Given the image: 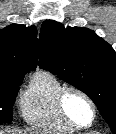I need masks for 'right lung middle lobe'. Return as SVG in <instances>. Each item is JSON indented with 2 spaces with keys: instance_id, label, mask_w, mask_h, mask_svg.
Returning a JSON list of instances; mask_svg holds the SVG:
<instances>
[{
  "instance_id": "right-lung-middle-lobe-1",
  "label": "right lung middle lobe",
  "mask_w": 116,
  "mask_h": 134,
  "mask_svg": "<svg viewBox=\"0 0 116 134\" xmlns=\"http://www.w3.org/2000/svg\"><path fill=\"white\" fill-rule=\"evenodd\" d=\"M21 83L0 85V122L12 121V107Z\"/></svg>"
}]
</instances>
